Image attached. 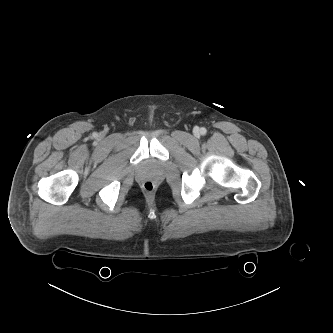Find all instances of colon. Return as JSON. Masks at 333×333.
Wrapping results in <instances>:
<instances>
[{"mask_svg":"<svg viewBox=\"0 0 333 333\" xmlns=\"http://www.w3.org/2000/svg\"><path fill=\"white\" fill-rule=\"evenodd\" d=\"M154 187L155 186L152 181L147 180L143 183V189L148 193L152 192L154 190Z\"/></svg>","mask_w":333,"mask_h":333,"instance_id":"1","label":"colon"}]
</instances>
